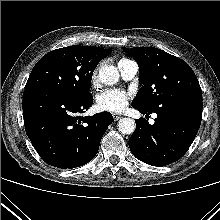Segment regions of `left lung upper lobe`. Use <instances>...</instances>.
Here are the masks:
<instances>
[{
  "instance_id": "obj_1",
  "label": "left lung upper lobe",
  "mask_w": 220,
  "mask_h": 220,
  "mask_svg": "<svg viewBox=\"0 0 220 220\" xmlns=\"http://www.w3.org/2000/svg\"><path fill=\"white\" fill-rule=\"evenodd\" d=\"M138 63L142 87L132 106L152 111L185 93L201 92L197 77L182 59L153 47L124 48Z\"/></svg>"
}]
</instances>
